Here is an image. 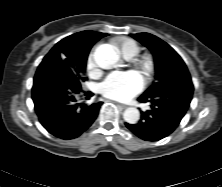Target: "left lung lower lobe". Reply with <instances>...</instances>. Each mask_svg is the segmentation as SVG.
<instances>
[{
	"instance_id": "left-lung-lower-lobe-1",
	"label": "left lung lower lobe",
	"mask_w": 222,
	"mask_h": 187,
	"mask_svg": "<svg viewBox=\"0 0 222 187\" xmlns=\"http://www.w3.org/2000/svg\"><path fill=\"white\" fill-rule=\"evenodd\" d=\"M192 82L183 83L179 97L170 99L169 91L156 96H140L138 101L150 102L151 110L141 113L138 124L125 123L126 127L143 140L158 141L171 134L185 115L193 95Z\"/></svg>"
}]
</instances>
